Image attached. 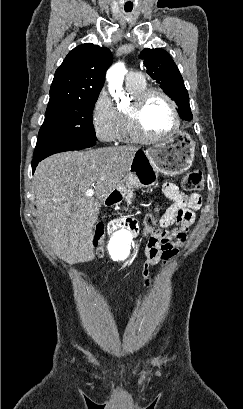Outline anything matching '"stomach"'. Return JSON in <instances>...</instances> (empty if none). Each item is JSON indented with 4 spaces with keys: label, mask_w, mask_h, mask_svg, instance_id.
Instances as JSON below:
<instances>
[{
    "label": "stomach",
    "mask_w": 243,
    "mask_h": 409,
    "mask_svg": "<svg viewBox=\"0 0 243 409\" xmlns=\"http://www.w3.org/2000/svg\"><path fill=\"white\" fill-rule=\"evenodd\" d=\"M195 143L190 135L177 132L164 142L138 151L118 191L125 196L131 189L150 187L159 173L175 176L187 171L194 160Z\"/></svg>",
    "instance_id": "obj_1"
}]
</instances>
